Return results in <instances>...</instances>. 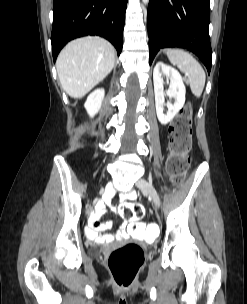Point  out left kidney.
Segmentation results:
<instances>
[{
  "label": "left kidney",
  "mask_w": 247,
  "mask_h": 304,
  "mask_svg": "<svg viewBox=\"0 0 247 304\" xmlns=\"http://www.w3.org/2000/svg\"><path fill=\"white\" fill-rule=\"evenodd\" d=\"M162 73L166 75L168 79H170V86L166 91V94L170 98L175 99L174 104H167L168 111L166 115L163 113L165 92L163 87ZM153 82L157 117L161 124L166 125L182 109L185 103L186 88L178 71L166 65L162 61H158L154 67Z\"/></svg>",
  "instance_id": "left-kidney-1"
}]
</instances>
